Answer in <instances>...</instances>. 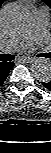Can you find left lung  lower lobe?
<instances>
[{"instance_id": "1", "label": "left lung lower lobe", "mask_w": 51, "mask_h": 153, "mask_svg": "<svg viewBox=\"0 0 51 153\" xmlns=\"http://www.w3.org/2000/svg\"><path fill=\"white\" fill-rule=\"evenodd\" d=\"M43 86L46 87L47 89H49L51 91V81L49 82H42Z\"/></svg>"}]
</instances>
